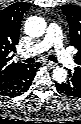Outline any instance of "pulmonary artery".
<instances>
[{
    "mask_svg": "<svg viewBox=\"0 0 81 124\" xmlns=\"http://www.w3.org/2000/svg\"><path fill=\"white\" fill-rule=\"evenodd\" d=\"M53 47L56 57L66 67H74V61L72 56L63 46L62 32L55 23H51L48 26L47 32L43 39L32 46L24 55H36L40 54L49 48Z\"/></svg>",
    "mask_w": 81,
    "mask_h": 124,
    "instance_id": "1",
    "label": "pulmonary artery"
}]
</instances>
